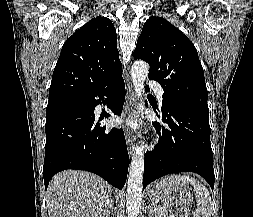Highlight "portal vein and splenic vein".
Returning <instances> with one entry per match:
<instances>
[{
  "label": "portal vein and splenic vein",
  "mask_w": 253,
  "mask_h": 217,
  "mask_svg": "<svg viewBox=\"0 0 253 217\" xmlns=\"http://www.w3.org/2000/svg\"><path fill=\"white\" fill-rule=\"evenodd\" d=\"M163 210H165V208L160 207V206H158V207L155 208V212L163 211Z\"/></svg>",
  "instance_id": "obj_1"
}]
</instances>
